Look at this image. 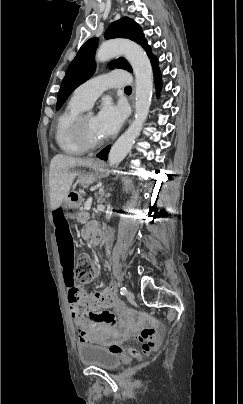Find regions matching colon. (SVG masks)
Returning a JSON list of instances; mask_svg holds the SVG:
<instances>
[{
    "label": "colon",
    "mask_w": 243,
    "mask_h": 404,
    "mask_svg": "<svg viewBox=\"0 0 243 404\" xmlns=\"http://www.w3.org/2000/svg\"><path fill=\"white\" fill-rule=\"evenodd\" d=\"M95 268L90 257L82 254L78 257L76 267V279L80 283H90L95 278ZM74 303L82 305L90 312L109 311V308L116 307L117 300L112 290L106 289L102 292L89 294L77 291L71 296ZM140 343V352L148 353L158 348L160 344V333L156 327L144 328L137 337ZM133 354L139 351L133 350Z\"/></svg>",
    "instance_id": "1"
}]
</instances>
